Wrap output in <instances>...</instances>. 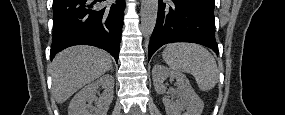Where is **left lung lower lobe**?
Returning <instances> with one entry per match:
<instances>
[{"mask_svg": "<svg viewBox=\"0 0 285 115\" xmlns=\"http://www.w3.org/2000/svg\"><path fill=\"white\" fill-rule=\"evenodd\" d=\"M214 6V0H159L149 59L161 46L172 42L201 44L218 54Z\"/></svg>", "mask_w": 285, "mask_h": 115, "instance_id": "1", "label": "left lung lower lobe"}]
</instances>
